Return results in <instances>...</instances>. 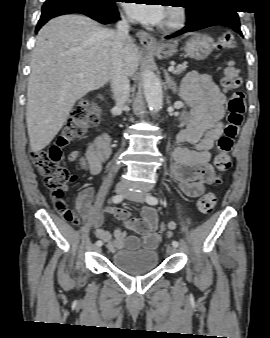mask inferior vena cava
I'll list each match as a JSON object with an SVG mask.
<instances>
[{"label": "inferior vena cava", "instance_id": "obj_1", "mask_svg": "<svg viewBox=\"0 0 270 338\" xmlns=\"http://www.w3.org/2000/svg\"><path fill=\"white\" fill-rule=\"evenodd\" d=\"M129 31L128 21L123 18L117 23L116 30L111 32L112 67L110 83L118 108L123 107L130 96V83L122 62L125 42L130 39Z\"/></svg>", "mask_w": 270, "mask_h": 338}]
</instances>
